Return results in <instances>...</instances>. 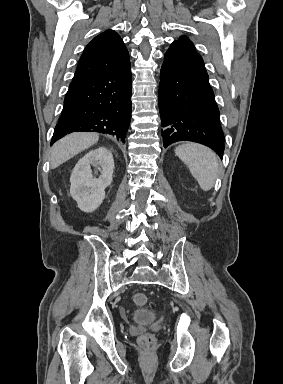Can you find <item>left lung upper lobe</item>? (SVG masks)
<instances>
[{
    "label": "left lung upper lobe",
    "mask_w": 283,
    "mask_h": 384,
    "mask_svg": "<svg viewBox=\"0 0 283 384\" xmlns=\"http://www.w3.org/2000/svg\"><path fill=\"white\" fill-rule=\"evenodd\" d=\"M175 42H179V43H182V44H185L187 46H190L193 48V43L187 38V37H181L179 41H175Z\"/></svg>",
    "instance_id": "obj_1"
}]
</instances>
